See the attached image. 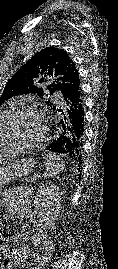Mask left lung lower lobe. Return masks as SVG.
<instances>
[{
    "label": "left lung lower lobe",
    "mask_w": 118,
    "mask_h": 269,
    "mask_svg": "<svg viewBox=\"0 0 118 269\" xmlns=\"http://www.w3.org/2000/svg\"><path fill=\"white\" fill-rule=\"evenodd\" d=\"M53 111L58 121L55 138L47 150L68 155L80 168L84 135V99L81 88L64 96L62 105H55Z\"/></svg>",
    "instance_id": "obj_1"
}]
</instances>
